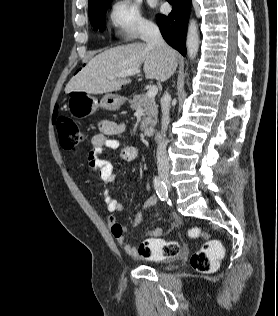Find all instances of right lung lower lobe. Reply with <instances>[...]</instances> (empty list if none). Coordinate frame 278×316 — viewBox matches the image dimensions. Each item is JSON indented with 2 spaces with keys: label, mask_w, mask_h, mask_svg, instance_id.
Instances as JSON below:
<instances>
[{
  "label": "right lung lower lobe",
  "mask_w": 278,
  "mask_h": 316,
  "mask_svg": "<svg viewBox=\"0 0 278 316\" xmlns=\"http://www.w3.org/2000/svg\"><path fill=\"white\" fill-rule=\"evenodd\" d=\"M172 5V12L157 15V23L166 42L186 56L185 33L190 16L191 0H167Z\"/></svg>",
  "instance_id": "98d812e1"
}]
</instances>
